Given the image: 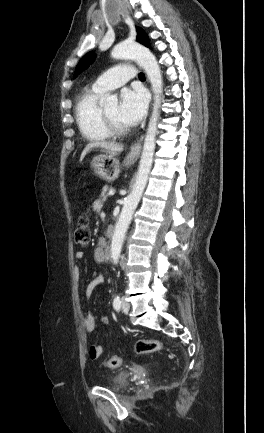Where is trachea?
Listing matches in <instances>:
<instances>
[{"label": "trachea", "mask_w": 264, "mask_h": 433, "mask_svg": "<svg viewBox=\"0 0 264 433\" xmlns=\"http://www.w3.org/2000/svg\"><path fill=\"white\" fill-rule=\"evenodd\" d=\"M138 77H139V79H141V80H144V79H145V76H144L143 73H139Z\"/></svg>", "instance_id": "obj_1"}]
</instances>
